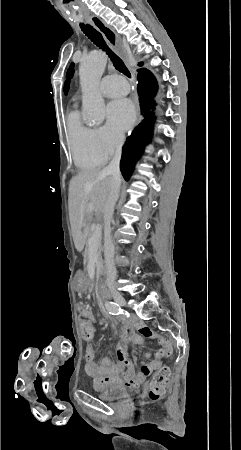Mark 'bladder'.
<instances>
[{
	"label": "bladder",
	"instance_id": "obj_1",
	"mask_svg": "<svg viewBox=\"0 0 241 450\" xmlns=\"http://www.w3.org/2000/svg\"><path fill=\"white\" fill-rule=\"evenodd\" d=\"M125 395V388L121 385H111L106 390L100 392V396L105 399H117Z\"/></svg>",
	"mask_w": 241,
	"mask_h": 450
}]
</instances>
